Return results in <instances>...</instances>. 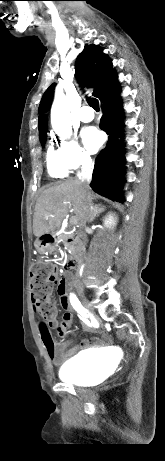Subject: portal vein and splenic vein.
Segmentation results:
<instances>
[{
  "label": "portal vein and splenic vein",
  "mask_w": 165,
  "mask_h": 461,
  "mask_svg": "<svg viewBox=\"0 0 165 461\" xmlns=\"http://www.w3.org/2000/svg\"><path fill=\"white\" fill-rule=\"evenodd\" d=\"M77 222H78V221H77V218H76V217H71V218H70V223H71V224H74V225H75V224H77Z\"/></svg>",
  "instance_id": "obj_1"
}]
</instances>
